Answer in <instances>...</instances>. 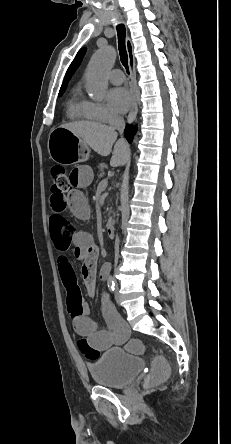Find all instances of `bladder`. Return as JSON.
I'll list each match as a JSON object with an SVG mask.
<instances>
[{
  "mask_svg": "<svg viewBox=\"0 0 231 444\" xmlns=\"http://www.w3.org/2000/svg\"><path fill=\"white\" fill-rule=\"evenodd\" d=\"M88 370L98 385L120 388L131 383L144 368L142 359L125 348L110 349L88 363Z\"/></svg>",
  "mask_w": 231,
  "mask_h": 444,
  "instance_id": "1",
  "label": "bladder"
}]
</instances>
